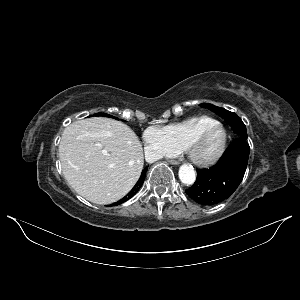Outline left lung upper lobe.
<instances>
[{
    "mask_svg": "<svg viewBox=\"0 0 300 300\" xmlns=\"http://www.w3.org/2000/svg\"><path fill=\"white\" fill-rule=\"evenodd\" d=\"M200 106L208 108L222 117L233 128L236 138H243L247 140L246 126L235 113L212 104L203 103L200 104Z\"/></svg>",
    "mask_w": 300,
    "mask_h": 300,
    "instance_id": "left-lung-upper-lobe-1",
    "label": "left lung upper lobe"
}]
</instances>
